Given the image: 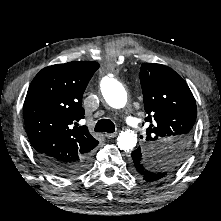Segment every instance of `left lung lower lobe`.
<instances>
[{
    "mask_svg": "<svg viewBox=\"0 0 221 221\" xmlns=\"http://www.w3.org/2000/svg\"><path fill=\"white\" fill-rule=\"evenodd\" d=\"M130 170L135 177L145 182H155L154 179L158 176L150 170L140 147L131 153Z\"/></svg>",
    "mask_w": 221,
    "mask_h": 221,
    "instance_id": "0a47b994",
    "label": "left lung lower lobe"
}]
</instances>
